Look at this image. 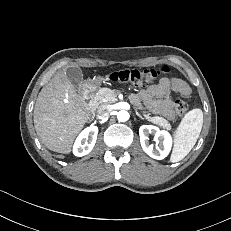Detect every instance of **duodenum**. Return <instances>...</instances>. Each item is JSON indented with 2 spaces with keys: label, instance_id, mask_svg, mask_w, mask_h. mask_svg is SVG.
Returning a JSON list of instances; mask_svg holds the SVG:
<instances>
[{
  "label": "duodenum",
  "instance_id": "1",
  "mask_svg": "<svg viewBox=\"0 0 231 231\" xmlns=\"http://www.w3.org/2000/svg\"><path fill=\"white\" fill-rule=\"evenodd\" d=\"M81 98L86 105L88 112H92L95 108L94 93L92 87L87 85L81 90Z\"/></svg>",
  "mask_w": 231,
  "mask_h": 231
}]
</instances>
